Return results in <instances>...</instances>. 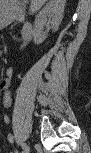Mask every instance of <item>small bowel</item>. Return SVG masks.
I'll list each match as a JSON object with an SVG mask.
<instances>
[{"instance_id":"small-bowel-1","label":"small bowel","mask_w":91,"mask_h":153,"mask_svg":"<svg viewBox=\"0 0 91 153\" xmlns=\"http://www.w3.org/2000/svg\"><path fill=\"white\" fill-rule=\"evenodd\" d=\"M11 83V70L7 69L6 76L0 82V88L2 90L1 101L2 104L6 107L11 105L12 96L10 91L8 90ZM8 141L13 144L15 142V138L12 134L8 135Z\"/></svg>"}]
</instances>
